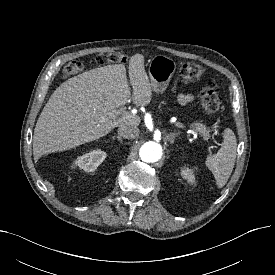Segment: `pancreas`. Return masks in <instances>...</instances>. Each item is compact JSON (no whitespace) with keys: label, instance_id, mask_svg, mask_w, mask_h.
I'll use <instances>...</instances> for the list:
<instances>
[{"label":"pancreas","instance_id":"pancreas-1","mask_svg":"<svg viewBox=\"0 0 275 275\" xmlns=\"http://www.w3.org/2000/svg\"><path fill=\"white\" fill-rule=\"evenodd\" d=\"M192 126L197 132H199L204 140H208L210 138V130L204 124L194 123Z\"/></svg>","mask_w":275,"mask_h":275}]
</instances>
